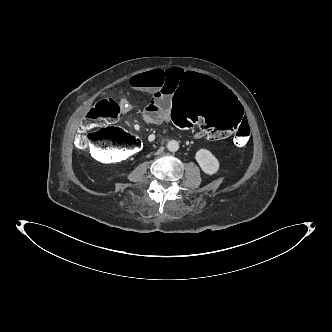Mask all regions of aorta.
Wrapping results in <instances>:
<instances>
[{"label": "aorta", "instance_id": "aorta-1", "mask_svg": "<svg viewBox=\"0 0 332 332\" xmlns=\"http://www.w3.org/2000/svg\"><path fill=\"white\" fill-rule=\"evenodd\" d=\"M167 149L171 152H176L179 149V143L175 140H170L167 143Z\"/></svg>", "mask_w": 332, "mask_h": 332}]
</instances>
